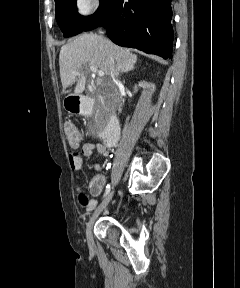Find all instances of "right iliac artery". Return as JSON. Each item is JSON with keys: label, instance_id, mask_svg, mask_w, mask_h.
<instances>
[{"label": "right iliac artery", "instance_id": "1", "mask_svg": "<svg viewBox=\"0 0 240 288\" xmlns=\"http://www.w3.org/2000/svg\"><path fill=\"white\" fill-rule=\"evenodd\" d=\"M110 167V165H108V168ZM110 189H111V184H108L106 186V189H105V193H104V196L103 197H106L108 195V193L110 192Z\"/></svg>", "mask_w": 240, "mask_h": 288}]
</instances>
